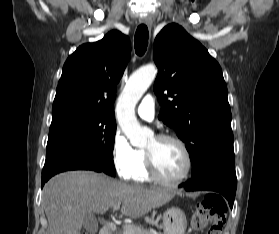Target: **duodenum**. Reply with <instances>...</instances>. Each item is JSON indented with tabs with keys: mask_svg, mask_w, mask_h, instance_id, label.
<instances>
[{
	"mask_svg": "<svg viewBox=\"0 0 279 234\" xmlns=\"http://www.w3.org/2000/svg\"><path fill=\"white\" fill-rule=\"evenodd\" d=\"M115 229H116L115 224L109 221L103 226L99 234H114Z\"/></svg>",
	"mask_w": 279,
	"mask_h": 234,
	"instance_id": "410a0bca",
	"label": "duodenum"
}]
</instances>
